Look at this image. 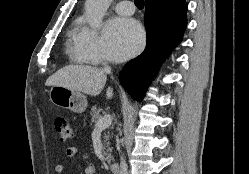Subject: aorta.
Instances as JSON below:
<instances>
[{
  "label": "aorta",
  "instance_id": "obj_1",
  "mask_svg": "<svg viewBox=\"0 0 249 174\" xmlns=\"http://www.w3.org/2000/svg\"><path fill=\"white\" fill-rule=\"evenodd\" d=\"M111 2L112 0H86V20L91 28L98 29L101 27L104 14Z\"/></svg>",
  "mask_w": 249,
  "mask_h": 174
}]
</instances>
